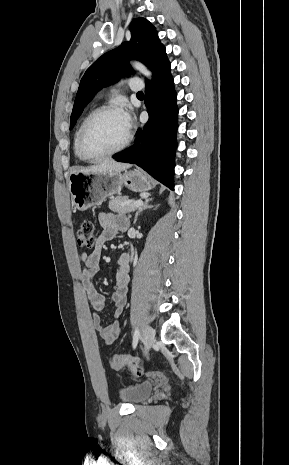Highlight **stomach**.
Here are the masks:
<instances>
[{"label":"stomach","instance_id":"1","mask_svg":"<svg viewBox=\"0 0 289 465\" xmlns=\"http://www.w3.org/2000/svg\"><path fill=\"white\" fill-rule=\"evenodd\" d=\"M126 186L135 192L152 188L151 181L140 171L121 172H76L69 176L68 187L75 209L85 211L102 204L107 197L120 193Z\"/></svg>","mask_w":289,"mask_h":465}]
</instances>
